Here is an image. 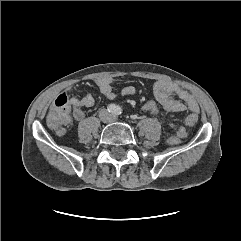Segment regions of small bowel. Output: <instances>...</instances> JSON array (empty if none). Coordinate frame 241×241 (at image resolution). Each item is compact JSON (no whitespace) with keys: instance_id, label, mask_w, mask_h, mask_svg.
I'll return each mask as SVG.
<instances>
[{"instance_id":"obj_1","label":"small bowel","mask_w":241,"mask_h":241,"mask_svg":"<svg viewBox=\"0 0 241 241\" xmlns=\"http://www.w3.org/2000/svg\"><path fill=\"white\" fill-rule=\"evenodd\" d=\"M96 84L106 98H116L117 93L114 89L113 79L102 77L96 80ZM120 93L122 96H131L136 93V89L133 86H127ZM154 97L167 111L182 112L188 110L193 114L199 113V105L196 99L174 82L167 80L157 81L154 85ZM70 101L72 104L80 106V110L74 114L77 120L83 117L81 107H93L95 105V99L91 94H86L81 98H72Z\"/></svg>"}]
</instances>
